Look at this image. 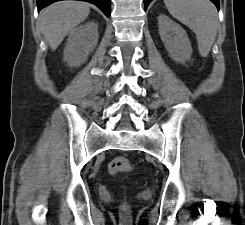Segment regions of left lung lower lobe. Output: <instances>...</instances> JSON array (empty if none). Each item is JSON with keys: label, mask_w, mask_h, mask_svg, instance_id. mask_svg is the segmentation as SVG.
<instances>
[{"label": "left lung lower lobe", "mask_w": 245, "mask_h": 225, "mask_svg": "<svg viewBox=\"0 0 245 225\" xmlns=\"http://www.w3.org/2000/svg\"><path fill=\"white\" fill-rule=\"evenodd\" d=\"M152 0H144V5H145V10L147 9L149 3L151 2ZM217 7V9H219V0H211Z\"/></svg>", "instance_id": "0a47b994"}]
</instances>
